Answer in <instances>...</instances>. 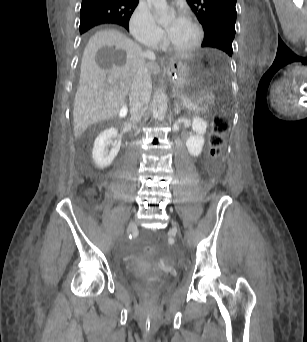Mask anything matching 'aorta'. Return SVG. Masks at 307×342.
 Listing matches in <instances>:
<instances>
[{
  "instance_id": "obj_1",
  "label": "aorta",
  "mask_w": 307,
  "mask_h": 342,
  "mask_svg": "<svg viewBox=\"0 0 307 342\" xmlns=\"http://www.w3.org/2000/svg\"><path fill=\"white\" fill-rule=\"evenodd\" d=\"M154 8V14L159 16L158 22L161 26H166L170 24L175 18L174 10H170L166 0H149ZM153 118L155 120H164L167 114V96L164 92H156L153 96Z\"/></svg>"
}]
</instances>
